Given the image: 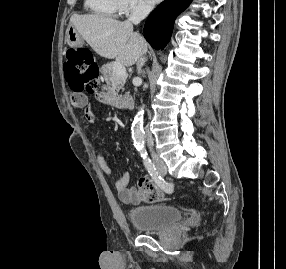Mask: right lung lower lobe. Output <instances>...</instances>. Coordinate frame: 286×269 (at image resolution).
I'll use <instances>...</instances> for the list:
<instances>
[{"label":"right lung lower lobe","mask_w":286,"mask_h":269,"mask_svg":"<svg viewBox=\"0 0 286 269\" xmlns=\"http://www.w3.org/2000/svg\"><path fill=\"white\" fill-rule=\"evenodd\" d=\"M192 0H165L151 13L144 27V37L155 49H163L169 42L174 20Z\"/></svg>","instance_id":"right-lung-lower-lobe-1"}]
</instances>
